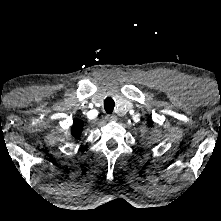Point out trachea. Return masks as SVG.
<instances>
[{
	"instance_id": "3493384b",
	"label": "trachea",
	"mask_w": 221,
	"mask_h": 221,
	"mask_svg": "<svg viewBox=\"0 0 221 221\" xmlns=\"http://www.w3.org/2000/svg\"><path fill=\"white\" fill-rule=\"evenodd\" d=\"M115 102L111 97H107L104 100V109L108 114H111L114 110Z\"/></svg>"
}]
</instances>
